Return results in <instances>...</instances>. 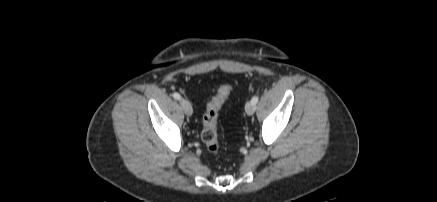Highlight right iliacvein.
I'll return each instance as SVG.
<instances>
[{"mask_svg": "<svg viewBox=\"0 0 437 202\" xmlns=\"http://www.w3.org/2000/svg\"><path fill=\"white\" fill-rule=\"evenodd\" d=\"M180 104L186 115L191 116L193 114V109L190 102L186 99H181Z\"/></svg>", "mask_w": 437, "mask_h": 202, "instance_id": "1", "label": "right iliac vein"}]
</instances>
